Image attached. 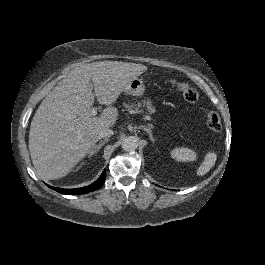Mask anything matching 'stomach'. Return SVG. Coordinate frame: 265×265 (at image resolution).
Segmentation results:
<instances>
[{"label": "stomach", "mask_w": 265, "mask_h": 265, "mask_svg": "<svg viewBox=\"0 0 265 265\" xmlns=\"http://www.w3.org/2000/svg\"><path fill=\"white\" fill-rule=\"evenodd\" d=\"M124 94L141 96L144 92V83L139 78H132L122 89Z\"/></svg>", "instance_id": "0dacf381"}]
</instances>
